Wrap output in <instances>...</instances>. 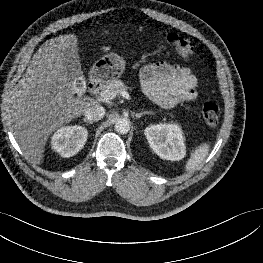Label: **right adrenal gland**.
I'll return each mask as SVG.
<instances>
[{
	"label": "right adrenal gland",
	"instance_id": "2a0ac1e0",
	"mask_svg": "<svg viewBox=\"0 0 263 263\" xmlns=\"http://www.w3.org/2000/svg\"><path fill=\"white\" fill-rule=\"evenodd\" d=\"M83 120H84L85 123H87V124H89V125H91V124L93 123V122H91V121H88V120L85 119V118H84Z\"/></svg>",
	"mask_w": 263,
	"mask_h": 263
}]
</instances>
